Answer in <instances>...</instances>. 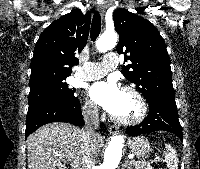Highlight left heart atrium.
Returning <instances> with one entry per match:
<instances>
[{"mask_svg":"<svg viewBox=\"0 0 200 169\" xmlns=\"http://www.w3.org/2000/svg\"><path fill=\"white\" fill-rule=\"evenodd\" d=\"M90 98L110 114H114L121 90L113 80L95 82L89 87Z\"/></svg>","mask_w":200,"mask_h":169,"instance_id":"39dd6f15","label":"left heart atrium"}]
</instances>
